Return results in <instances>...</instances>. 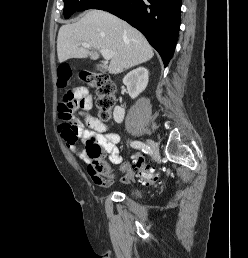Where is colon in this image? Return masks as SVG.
Wrapping results in <instances>:
<instances>
[{"label":"colon","mask_w":248,"mask_h":258,"mask_svg":"<svg viewBox=\"0 0 248 258\" xmlns=\"http://www.w3.org/2000/svg\"><path fill=\"white\" fill-rule=\"evenodd\" d=\"M59 84L64 88V99L59 105V117L61 119V131L66 132V139L73 142L77 141V130L73 124V113L76 107L75 94L76 87L69 86L70 68L65 63L59 67ZM83 79L94 89L97 95V107L99 118L103 121L109 120L111 110L114 105L113 93L115 85L110 78L103 74H90L83 76ZM102 157V146L95 137L86 139L85 158L89 163L88 171L95 180H105L112 176V171L105 165L100 163ZM128 173L138 175L143 183L149 185L158 181L159 175L157 172L148 171V163H145L143 155L140 152H134V155H129ZM146 171V172H145Z\"/></svg>","instance_id":"colon-1"}]
</instances>
